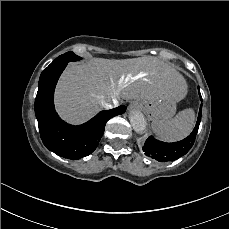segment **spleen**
I'll return each mask as SVG.
<instances>
[{"mask_svg":"<svg viewBox=\"0 0 229 229\" xmlns=\"http://www.w3.org/2000/svg\"><path fill=\"white\" fill-rule=\"evenodd\" d=\"M195 124L193 109H185L170 120H154L152 130L160 139L168 142L181 140L189 135Z\"/></svg>","mask_w":229,"mask_h":229,"instance_id":"3e777b00","label":"spleen"}]
</instances>
